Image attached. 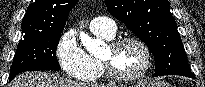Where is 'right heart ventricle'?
I'll return each mask as SVG.
<instances>
[{
  "label": "right heart ventricle",
  "instance_id": "right-heart-ventricle-1",
  "mask_svg": "<svg viewBox=\"0 0 205 87\" xmlns=\"http://www.w3.org/2000/svg\"><path fill=\"white\" fill-rule=\"evenodd\" d=\"M94 34L97 35L98 37L105 39V40L114 39V35H107V34H103V33H94ZM89 62L91 65V71L89 74L82 77L81 80L85 81V82H95V81H99V80L103 79L105 76V73H104V69H103L99 59L96 57H93V56H89Z\"/></svg>",
  "mask_w": 205,
  "mask_h": 87
}]
</instances>
